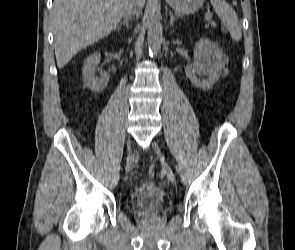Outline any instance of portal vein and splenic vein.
<instances>
[{
	"mask_svg": "<svg viewBox=\"0 0 295 250\" xmlns=\"http://www.w3.org/2000/svg\"><path fill=\"white\" fill-rule=\"evenodd\" d=\"M211 18H212V15H211V14H206V15H205V20H206V21H210Z\"/></svg>",
	"mask_w": 295,
	"mask_h": 250,
	"instance_id": "portal-vein-and-splenic-vein-1",
	"label": "portal vein and splenic vein"
}]
</instances>
